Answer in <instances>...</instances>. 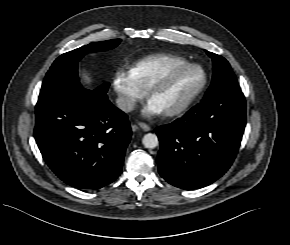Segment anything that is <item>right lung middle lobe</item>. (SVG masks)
Segmentation results:
<instances>
[{"label": "right lung middle lobe", "mask_w": 290, "mask_h": 245, "mask_svg": "<svg viewBox=\"0 0 290 245\" xmlns=\"http://www.w3.org/2000/svg\"><path fill=\"white\" fill-rule=\"evenodd\" d=\"M120 41V39H113L93 42L59 56L46 74L39 94V100L67 93L81 86L77 75L79 60L88 53L113 49ZM108 86L109 83H105L99 89L107 92Z\"/></svg>", "instance_id": "right-lung-middle-lobe-1"}]
</instances>
